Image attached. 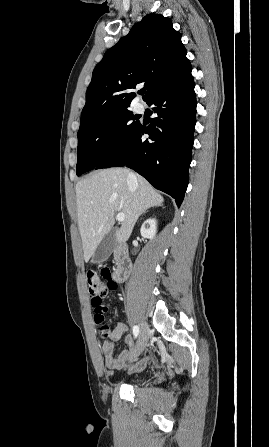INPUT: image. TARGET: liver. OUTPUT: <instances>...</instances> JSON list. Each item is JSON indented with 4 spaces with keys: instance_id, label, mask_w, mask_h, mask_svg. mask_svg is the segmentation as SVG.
Here are the masks:
<instances>
[{
    "instance_id": "1",
    "label": "liver",
    "mask_w": 269,
    "mask_h": 447,
    "mask_svg": "<svg viewBox=\"0 0 269 447\" xmlns=\"http://www.w3.org/2000/svg\"><path fill=\"white\" fill-rule=\"evenodd\" d=\"M128 174L126 168L97 170L76 184L78 227L85 261H89L104 235L112 229L117 212L125 214L116 231V239L122 243L130 237L142 212L164 202L142 176L128 180Z\"/></svg>"
}]
</instances>
